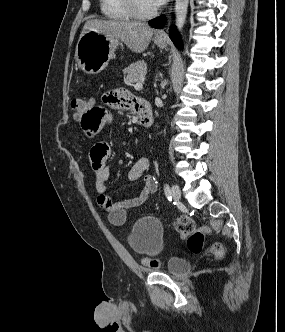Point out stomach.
<instances>
[{"instance_id": "0dacf381", "label": "stomach", "mask_w": 285, "mask_h": 332, "mask_svg": "<svg viewBox=\"0 0 285 332\" xmlns=\"http://www.w3.org/2000/svg\"><path fill=\"white\" fill-rule=\"evenodd\" d=\"M154 43L166 47V39L155 37ZM119 41L97 31H87L77 43L75 56L78 66L87 74L100 73L112 59Z\"/></svg>"}]
</instances>
